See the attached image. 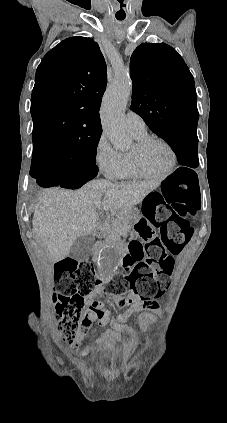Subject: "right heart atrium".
<instances>
[{
  "instance_id": "obj_1",
  "label": "right heart atrium",
  "mask_w": 227,
  "mask_h": 423,
  "mask_svg": "<svg viewBox=\"0 0 227 423\" xmlns=\"http://www.w3.org/2000/svg\"><path fill=\"white\" fill-rule=\"evenodd\" d=\"M95 163L101 173L110 179H119L123 175L121 155L110 144L105 133L99 134L94 148Z\"/></svg>"
}]
</instances>
